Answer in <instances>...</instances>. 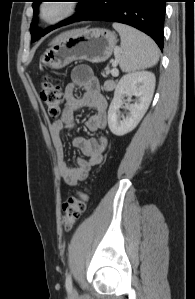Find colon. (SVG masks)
Segmentation results:
<instances>
[{
  "label": "colon",
  "instance_id": "1",
  "mask_svg": "<svg viewBox=\"0 0 195 299\" xmlns=\"http://www.w3.org/2000/svg\"><path fill=\"white\" fill-rule=\"evenodd\" d=\"M39 95L49 117L57 119L64 98L61 85L54 82L49 76H45L40 84ZM87 198L86 191H77L64 202L61 221L65 231L72 230L77 220L85 212Z\"/></svg>",
  "mask_w": 195,
  "mask_h": 299
}]
</instances>
